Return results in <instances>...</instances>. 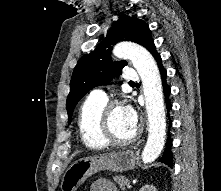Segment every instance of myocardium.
<instances>
[{
  "instance_id": "f54148a6",
  "label": "myocardium",
  "mask_w": 221,
  "mask_h": 191,
  "mask_svg": "<svg viewBox=\"0 0 221 191\" xmlns=\"http://www.w3.org/2000/svg\"><path fill=\"white\" fill-rule=\"evenodd\" d=\"M121 107V102L114 100L106 103L101 117V136L104 141L112 146H126L133 143L139 135V131L135 130L129 138H118L113 132L111 126V117L113 112Z\"/></svg>"
}]
</instances>
